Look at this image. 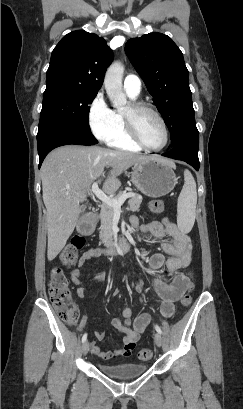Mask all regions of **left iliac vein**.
<instances>
[{
    "mask_svg": "<svg viewBox=\"0 0 243 409\" xmlns=\"http://www.w3.org/2000/svg\"><path fill=\"white\" fill-rule=\"evenodd\" d=\"M154 339H155L156 345L158 347H161L162 343H163V338H162L161 334L160 333H155Z\"/></svg>",
    "mask_w": 243,
    "mask_h": 409,
    "instance_id": "obj_1",
    "label": "left iliac vein"
}]
</instances>
